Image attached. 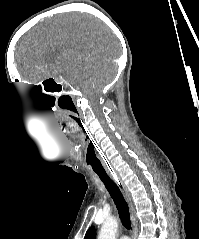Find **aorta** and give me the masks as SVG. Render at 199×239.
I'll use <instances>...</instances> for the list:
<instances>
[{
    "label": "aorta",
    "mask_w": 199,
    "mask_h": 239,
    "mask_svg": "<svg viewBox=\"0 0 199 239\" xmlns=\"http://www.w3.org/2000/svg\"><path fill=\"white\" fill-rule=\"evenodd\" d=\"M117 230H118L117 219L109 217L104 221L98 239H115Z\"/></svg>",
    "instance_id": "762f6f07"
}]
</instances>
